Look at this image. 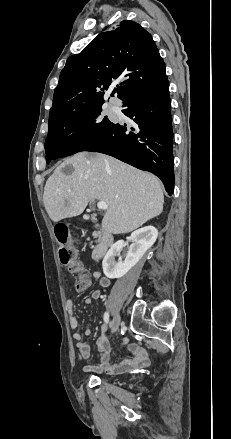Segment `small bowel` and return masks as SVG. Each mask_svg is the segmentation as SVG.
<instances>
[{
  "label": "small bowel",
  "mask_w": 231,
  "mask_h": 439,
  "mask_svg": "<svg viewBox=\"0 0 231 439\" xmlns=\"http://www.w3.org/2000/svg\"><path fill=\"white\" fill-rule=\"evenodd\" d=\"M92 278L95 282H97L100 286L106 288L110 285V280L103 276L100 272L95 271L92 274ZM102 296L100 290H94L92 294L85 298L86 304H92L93 301L100 299ZM74 302L71 298L66 300V308L69 315V325L70 328L74 331L73 337L76 341V346L78 350V354L83 359H88L90 356V346L87 341L83 339L81 333L77 331L78 328V320L75 315ZM107 329L105 325L102 326V331L104 332ZM85 335H90L92 330L90 328H86L84 331ZM123 345L127 347V350L130 353V357L123 359L118 362L111 361V348L108 343L107 338L104 334H101L97 339V347L99 350V359L100 364L97 366H85V371L91 372H106L109 374L122 373L131 369L143 368L146 367L149 363L147 352L144 348L137 344H129V340L127 338L123 339Z\"/></svg>",
  "instance_id": "c3829d8e"
}]
</instances>
